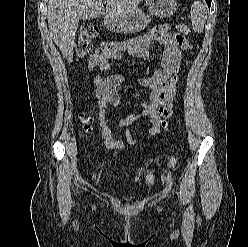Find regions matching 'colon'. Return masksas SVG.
I'll return each instance as SVG.
<instances>
[{
  "label": "colon",
  "instance_id": "1",
  "mask_svg": "<svg viewBox=\"0 0 248 247\" xmlns=\"http://www.w3.org/2000/svg\"><path fill=\"white\" fill-rule=\"evenodd\" d=\"M169 26L167 24L159 25L155 27L151 35L154 38H161L168 34ZM177 30L182 35H189L191 30L186 24H178ZM99 33V28L95 24L87 23L82 26L78 40L75 45V52L78 58H83L89 54L92 50V41L97 37ZM126 47V43L118 42H106L100 44L94 54L89 60V69L95 70L99 67L100 62L106 58L109 54L115 51L123 50ZM91 132V119L88 117L81 116L79 124V134L83 135Z\"/></svg>",
  "mask_w": 248,
  "mask_h": 247
}]
</instances>
